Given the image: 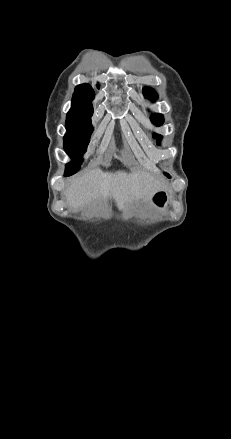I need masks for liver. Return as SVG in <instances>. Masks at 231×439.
<instances>
[{
	"mask_svg": "<svg viewBox=\"0 0 231 439\" xmlns=\"http://www.w3.org/2000/svg\"><path fill=\"white\" fill-rule=\"evenodd\" d=\"M164 190V184L144 171L104 173L90 171L70 181L65 196L74 210L92 201L111 197L120 209L131 200L147 201L154 193Z\"/></svg>",
	"mask_w": 231,
	"mask_h": 439,
	"instance_id": "1",
	"label": "liver"
}]
</instances>
